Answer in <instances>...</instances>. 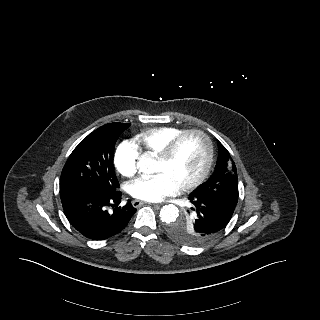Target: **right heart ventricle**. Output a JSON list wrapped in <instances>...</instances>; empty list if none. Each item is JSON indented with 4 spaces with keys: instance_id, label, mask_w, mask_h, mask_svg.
I'll return each instance as SVG.
<instances>
[{
    "instance_id": "right-heart-ventricle-1",
    "label": "right heart ventricle",
    "mask_w": 320,
    "mask_h": 320,
    "mask_svg": "<svg viewBox=\"0 0 320 320\" xmlns=\"http://www.w3.org/2000/svg\"><path fill=\"white\" fill-rule=\"evenodd\" d=\"M184 131L173 126L151 128L136 135L133 142L141 152L158 156L171 140Z\"/></svg>"
}]
</instances>
